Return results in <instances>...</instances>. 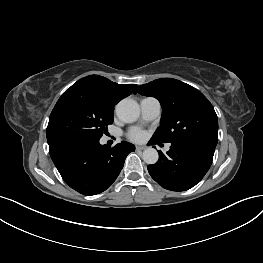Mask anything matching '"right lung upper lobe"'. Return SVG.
<instances>
[{
    "mask_svg": "<svg viewBox=\"0 0 263 263\" xmlns=\"http://www.w3.org/2000/svg\"><path fill=\"white\" fill-rule=\"evenodd\" d=\"M136 86L135 84L120 85L105 77L90 75L77 81L62 95L65 96L71 93L82 94L92 97L101 104L114 109L115 104L121 99L133 92L136 93Z\"/></svg>",
    "mask_w": 263,
    "mask_h": 263,
    "instance_id": "1",
    "label": "right lung upper lobe"
}]
</instances>
